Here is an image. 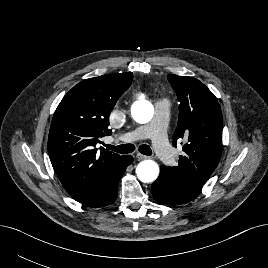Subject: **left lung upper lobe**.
<instances>
[{
    "mask_svg": "<svg viewBox=\"0 0 268 268\" xmlns=\"http://www.w3.org/2000/svg\"><path fill=\"white\" fill-rule=\"evenodd\" d=\"M179 105V120L173 135V145L184 141V156L178 166L162 170L171 181L200 193L206 180L217 167L222 154L223 119L214 94L193 77L168 75Z\"/></svg>",
    "mask_w": 268,
    "mask_h": 268,
    "instance_id": "obj_1",
    "label": "left lung upper lobe"
}]
</instances>
